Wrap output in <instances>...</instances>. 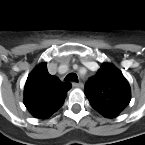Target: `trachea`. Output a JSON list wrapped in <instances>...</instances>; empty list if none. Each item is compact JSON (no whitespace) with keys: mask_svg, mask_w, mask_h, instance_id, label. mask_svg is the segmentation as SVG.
I'll return each mask as SVG.
<instances>
[{"mask_svg":"<svg viewBox=\"0 0 145 145\" xmlns=\"http://www.w3.org/2000/svg\"><path fill=\"white\" fill-rule=\"evenodd\" d=\"M65 80L78 82V77L75 73H70L65 77Z\"/></svg>","mask_w":145,"mask_h":145,"instance_id":"3493384b","label":"trachea"}]
</instances>
